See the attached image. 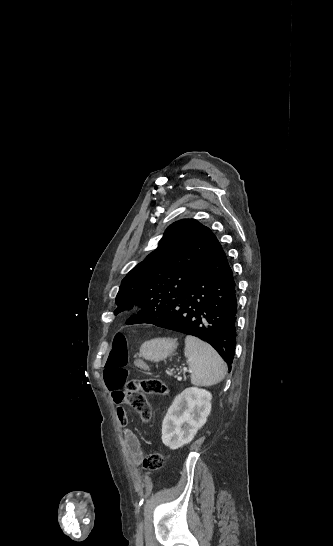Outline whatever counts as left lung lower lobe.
Masks as SVG:
<instances>
[{"mask_svg":"<svg viewBox=\"0 0 333 546\" xmlns=\"http://www.w3.org/2000/svg\"><path fill=\"white\" fill-rule=\"evenodd\" d=\"M236 284L226 254L216 239L203 267L167 310L149 323L139 314L127 325L148 323L208 342L231 368L236 346Z\"/></svg>","mask_w":333,"mask_h":546,"instance_id":"0a47b994","label":"left lung lower lobe"}]
</instances>
